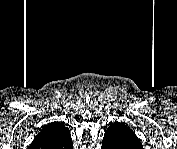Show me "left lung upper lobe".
Masks as SVG:
<instances>
[{"label":"left lung upper lobe","mask_w":177,"mask_h":149,"mask_svg":"<svg viewBox=\"0 0 177 149\" xmlns=\"http://www.w3.org/2000/svg\"><path fill=\"white\" fill-rule=\"evenodd\" d=\"M105 139L114 140L118 147L112 149H141L142 144L133 130L123 122L111 124L105 131L103 142ZM102 142V143H103Z\"/></svg>","instance_id":"1"}]
</instances>
